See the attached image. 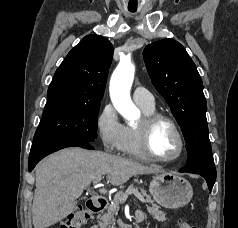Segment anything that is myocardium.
Masks as SVG:
<instances>
[{
	"mask_svg": "<svg viewBox=\"0 0 238 228\" xmlns=\"http://www.w3.org/2000/svg\"><path fill=\"white\" fill-rule=\"evenodd\" d=\"M160 122L168 123L172 127L178 138L179 150L178 153L172 158L159 157L152 150L151 147L152 133L156 125ZM136 127L139 132L141 147L149 159L161 163H171L177 161L183 155L185 150V139L179 125L170 116L157 112L147 114L141 118L139 124Z\"/></svg>",
	"mask_w": 238,
	"mask_h": 228,
	"instance_id": "f54148a6",
	"label": "myocardium"
}]
</instances>
